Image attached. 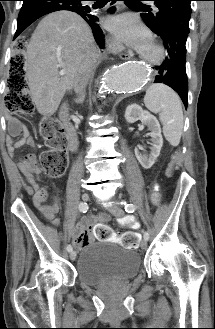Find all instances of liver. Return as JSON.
<instances>
[{
  "label": "liver",
  "mask_w": 215,
  "mask_h": 329,
  "mask_svg": "<svg viewBox=\"0 0 215 329\" xmlns=\"http://www.w3.org/2000/svg\"><path fill=\"white\" fill-rule=\"evenodd\" d=\"M94 49L91 29L76 13L58 11L40 21L27 46L24 69L32 102L41 115L57 111L82 61Z\"/></svg>",
  "instance_id": "obj_1"
}]
</instances>
